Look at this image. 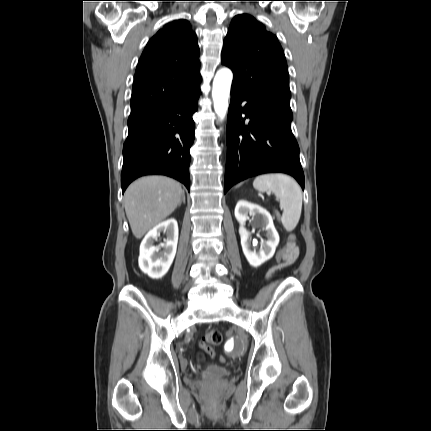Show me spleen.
Returning a JSON list of instances; mask_svg holds the SVG:
<instances>
[{"label":"spleen","instance_id":"1","mask_svg":"<svg viewBox=\"0 0 431 431\" xmlns=\"http://www.w3.org/2000/svg\"><path fill=\"white\" fill-rule=\"evenodd\" d=\"M253 187L259 192H272L283 209L281 222L286 231L297 226L302 210V191L298 183L284 174H264L257 176Z\"/></svg>","mask_w":431,"mask_h":431}]
</instances>
